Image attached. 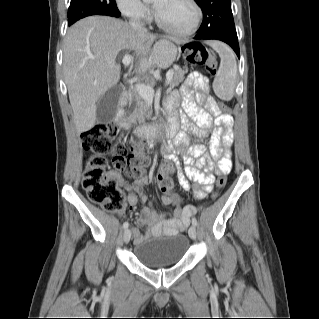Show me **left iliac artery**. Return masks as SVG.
I'll list each match as a JSON object with an SVG mask.
<instances>
[{
    "instance_id": "obj_1",
    "label": "left iliac artery",
    "mask_w": 319,
    "mask_h": 319,
    "mask_svg": "<svg viewBox=\"0 0 319 319\" xmlns=\"http://www.w3.org/2000/svg\"><path fill=\"white\" fill-rule=\"evenodd\" d=\"M192 224H193V226H195V227L197 226V220H196V218H193V219H192Z\"/></svg>"
}]
</instances>
